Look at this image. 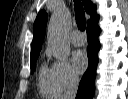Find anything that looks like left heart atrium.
<instances>
[{
	"label": "left heart atrium",
	"mask_w": 128,
	"mask_h": 99,
	"mask_svg": "<svg viewBox=\"0 0 128 99\" xmlns=\"http://www.w3.org/2000/svg\"><path fill=\"white\" fill-rule=\"evenodd\" d=\"M73 65L78 73L85 71L88 65V59L86 55L81 51H76L72 57Z\"/></svg>",
	"instance_id": "1"
}]
</instances>
